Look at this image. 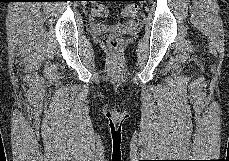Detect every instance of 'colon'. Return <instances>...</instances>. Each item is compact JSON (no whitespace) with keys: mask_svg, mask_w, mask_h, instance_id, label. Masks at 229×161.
I'll return each mask as SVG.
<instances>
[{"mask_svg":"<svg viewBox=\"0 0 229 161\" xmlns=\"http://www.w3.org/2000/svg\"><path fill=\"white\" fill-rule=\"evenodd\" d=\"M138 8L136 5H127L124 10L123 14L129 17H133L137 14ZM108 13L107 7L99 2H95L92 6V14L96 17H102L105 16ZM108 47L116 51L121 47L122 40L118 34H112L108 37L107 40Z\"/></svg>","mask_w":229,"mask_h":161,"instance_id":"colon-1","label":"colon"}]
</instances>
